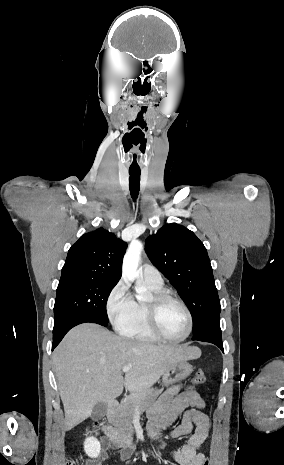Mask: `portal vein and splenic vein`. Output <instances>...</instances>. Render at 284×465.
<instances>
[{
	"label": "portal vein and splenic vein",
	"mask_w": 284,
	"mask_h": 465,
	"mask_svg": "<svg viewBox=\"0 0 284 465\" xmlns=\"http://www.w3.org/2000/svg\"><path fill=\"white\" fill-rule=\"evenodd\" d=\"M131 367H123L122 373H128L130 371Z\"/></svg>",
	"instance_id": "obj_1"
}]
</instances>
